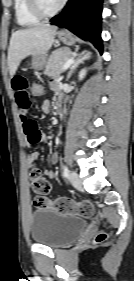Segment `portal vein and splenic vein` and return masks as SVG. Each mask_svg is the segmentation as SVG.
I'll return each instance as SVG.
<instances>
[{"label": "portal vein and splenic vein", "mask_w": 134, "mask_h": 281, "mask_svg": "<svg viewBox=\"0 0 134 281\" xmlns=\"http://www.w3.org/2000/svg\"><path fill=\"white\" fill-rule=\"evenodd\" d=\"M73 61H74L73 58L68 59L66 63L63 65L62 70H66L67 68H69L72 65Z\"/></svg>", "instance_id": "obj_1"}]
</instances>
